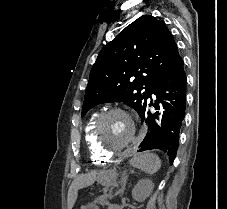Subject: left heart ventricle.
<instances>
[{
  "mask_svg": "<svg viewBox=\"0 0 227 209\" xmlns=\"http://www.w3.org/2000/svg\"><path fill=\"white\" fill-rule=\"evenodd\" d=\"M130 134L131 127L128 120L120 114H114L104 121L100 139L105 147L113 149L126 142Z\"/></svg>",
  "mask_w": 227,
  "mask_h": 209,
  "instance_id": "obj_1",
  "label": "left heart ventricle"
}]
</instances>
